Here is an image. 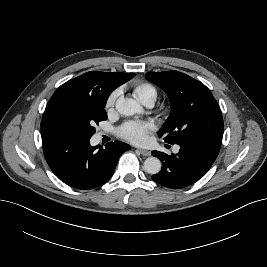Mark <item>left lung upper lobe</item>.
<instances>
[{
  "instance_id": "obj_1",
  "label": "left lung upper lobe",
  "mask_w": 267,
  "mask_h": 267,
  "mask_svg": "<svg viewBox=\"0 0 267 267\" xmlns=\"http://www.w3.org/2000/svg\"><path fill=\"white\" fill-rule=\"evenodd\" d=\"M146 79L170 98L171 113L159 130L170 144L203 138L222 139L223 118L211 91L200 81L178 72H148Z\"/></svg>"
}]
</instances>
